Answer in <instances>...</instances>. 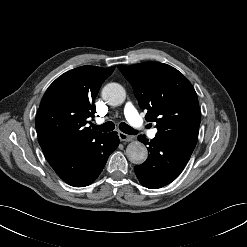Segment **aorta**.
Instances as JSON below:
<instances>
[{"label": "aorta", "instance_id": "762f6f07", "mask_svg": "<svg viewBox=\"0 0 247 247\" xmlns=\"http://www.w3.org/2000/svg\"><path fill=\"white\" fill-rule=\"evenodd\" d=\"M102 99L111 106L121 105L125 98V89L118 83H109L104 86L101 92ZM128 160L136 165L142 164L148 156L147 148L139 141H133L126 148Z\"/></svg>", "mask_w": 247, "mask_h": 247}]
</instances>
